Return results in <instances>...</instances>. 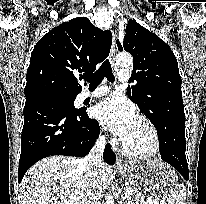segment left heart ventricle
Here are the masks:
<instances>
[{
	"mask_svg": "<svg viewBox=\"0 0 206 204\" xmlns=\"http://www.w3.org/2000/svg\"><path fill=\"white\" fill-rule=\"evenodd\" d=\"M123 142L132 151L144 152L150 149L152 138L146 125L137 118Z\"/></svg>",
	"mask_w": 206,
	"mask_h": 204,
	"instance_id": "b2bd125f",
	"label": "left heart ventricle"
}]
</instances>
